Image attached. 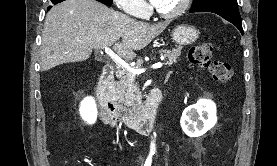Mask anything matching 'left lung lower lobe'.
Masks as SVG:
<instances>
[{
  "label": "left lung lower lobe",
  "mask_w": 277,
  "mask_h": 166,
  "mask_svg": "<svg viewBox=\"0 0 277 166\" xmlns=\"http://www.w3.org/2000/svg\"><path fill=\"white\" fill-rule=\"evenodd\" d=\"M193 12H212V13L218 14L221 17H223L224 19H226L227 21L234 24L240 30V32L243 34L242 21H241V17H240L238 8L215 6V7L200 9V10L193 11ZM193 12H190V13H193Z\"/></svg>",
  "instance_id": "obj_1"
}]
</instances>
